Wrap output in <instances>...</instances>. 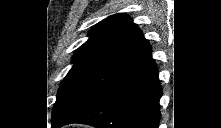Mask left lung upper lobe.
Wrapping results in <instances>:
<instances>
[{"instance_id":"obj_1","label":"left lung upper lobe","mask_w":221,"mask_h":128,"mask_svg":"<svg viewBox=\"0 0 221 128\" xmlns=\"http://www.w3.org/2000/svg\"><path fill=\"white\" fill-rule=\"evenodd\" d=\"M88 36L75 52L73 67L59 88L52 127H61L99 99L151 52L149 42L125 14L107 17Z\"/></svg>"}]
</instances>
